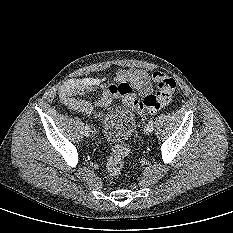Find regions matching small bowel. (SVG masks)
<instances>
[{
  "mask_svg": "<svg viewBox=\"0 0 233 233\" xmlns=\"http://www.w3.org/2000/svg\"><path fill=\"white\" fill-rule=\"evenodd\" d=\"M127 86L136 90L142 97L153 90L152 78L144 70L119 69L113 80L105 77H84L70 79L59 89L61 101L71 110L78 113H92L97 108L107 105L113 98L123 97L121 87ZM100 89L101 95L95 102L78 98L86 93Z\"/></svg>",
  "mask_w": 233,
  "mask_h": 233,
  "instance_id": "1",
  "label": "small bowel"
}]
</instances>
